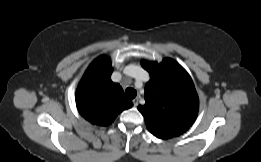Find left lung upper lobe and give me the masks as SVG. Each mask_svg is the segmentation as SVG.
Segmentation results:
<instances>
[{"instance_id":"1","label":"left lung upper lobe","mask_w":261,"mask_h":162,"mask_svg":"<svg viewBox=\"0 0 261 162\" xmlns=\"http://www.w3.org/2000/svg\"><path fill=\"white\" fill-rule=\"evenodd\" d=\"M150 74L145 86V105L138 110L148 130L156 137L169 139L183 134L195 121L199 99L191 77L175 60L160 64L141 61Z\"/></svg>"}]
</instances>
